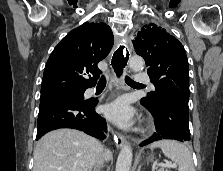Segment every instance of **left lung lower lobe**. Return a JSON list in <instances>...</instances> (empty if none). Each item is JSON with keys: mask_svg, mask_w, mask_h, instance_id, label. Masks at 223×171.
Returning <instances> with one entry per match:
<instances>
[{"mask_svg": "<svg viewBox=\"0 0 223 171\" xmlns=\"http://www.w3.org/2000/svg\"><path fill=\"white\" fill-rule=\"evenodd\" d=\"M148 110L154 117L156 132L140 146L162 139H174L181 142L190 140L188 104L168 96L162 98L156 107Z\"/></svg>", "mask_w": 223, "mask_h": 171, "instance_id": "0a47b994", "label": "left lung lower lobe"}]
</instances>
